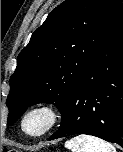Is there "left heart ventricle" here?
Wrapping results in <instances>:
<instances>
[{"label":"left heart ventricle","mask_w":123,"mask_h":152,"mask_svg":"<svg viewBox=\"0 0 123 152\" xmlns=\"http://www.w3.org/2000/svg\"><path fill=\"white\" fill-rule=\"evenodd\" d=\"M47 122V115L43 112H37L28 117L26 129L31 133H37L47 125Z\"/></svg>","instance_id":"1"}]
</instances>
